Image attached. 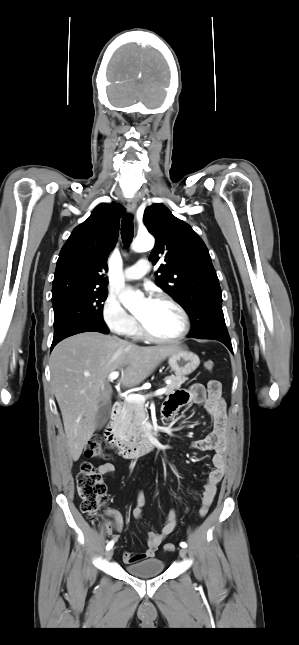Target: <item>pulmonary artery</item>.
Here are the masks:
<instances>
[{"label": "pulmonary artery", "instance_id": "pulmonary-artery-1", "mask_svg": "<svg viewBox=\"0 0 299 645\" xmlns=\"http://www.w3.org/2000/svg\"><path fill=\"white\" fill-rule=\"evenodd\" d=\"M150 270V263L146 259H141L133 266L125 269L123 278L125 280H138L145 276Z\"/></svg>", "mask_w": 299, "mask_h": 645}]
</instances>
